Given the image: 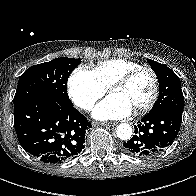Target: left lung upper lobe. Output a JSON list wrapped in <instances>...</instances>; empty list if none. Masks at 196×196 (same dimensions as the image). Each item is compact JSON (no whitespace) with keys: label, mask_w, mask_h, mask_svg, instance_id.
<instances>
[{"label":"left lung upper lobe","mask_w":196,"mask_h":196,"mask_svg":"<svg viewBox=\"0 0 196 196\" xmlns=\"http://www.w3.org/2000/svg\"><path fill=\"white\" fill-rule=\"evenodd\" d=\"M159 81V96L150 112L170 110L182 114L184 96L179 77L166 65L147 59Z\"/></svg>","instance_id":"1"}]
</instances>
